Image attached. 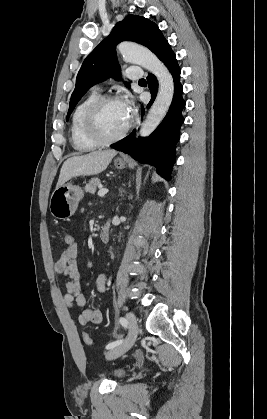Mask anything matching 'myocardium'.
I'll use <instances>...</instances> for the list:
<instances>
[{"mask_svg":"<svg viewBox=\"0 0 267 419\" xmlns=\"http://www.w3.org/2000/svg\"><path fill=\"white\" fill-rule=\"evenodd\" d=\"M121 101L120 97L116 95H105L100 96L94 100L89 107L87 108L84 119H83V128L86 136L93 142L99 145H108L115 143L126 136L130 130L134 118L131 116L127 125L122 129L121 132L114 136H105L99 129L98 126V115L101 109L108 103Z\"/></svg>","mask_w":267,"mask_h":419,"instance_id":"obj_1","label":"myocardium"}]
</instances>
